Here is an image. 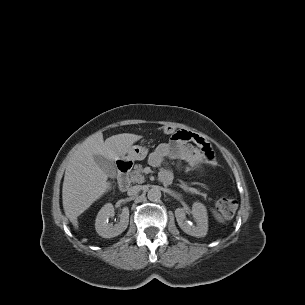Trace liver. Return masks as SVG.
I'll return each mask as SVG.
<instances>
[{
  "instance_id": "obj_1",
  "label": "liver",
  "mask_w": 305,
  "mask_h": 305,
  "mask_svg": "<svg viewBox=\"0 0 305 305\" xmlns=\"http://www.w3.org/2000/svg\"><path fill=\"white\" fill-rule=\"evenodd\" d=\"M141 138V135L123 133L104 141L102 133L97 132L73 153L65 170L62 199L65 214L76 229L78 216L111 188L108 175L95 162L94 155L119 160Z\"/></svg>"
}]
</instances>
